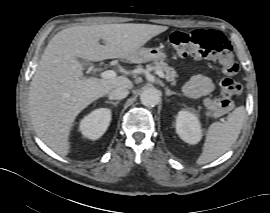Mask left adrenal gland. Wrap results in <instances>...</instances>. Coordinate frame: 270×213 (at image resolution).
Instances as JSON below:
<instances>
[{
  "instance_id": "a2214340",
  "label": "left adrenal gland",
  "mask_w": 270,
  "mask_h": 213,
  "mask_svg": "<svg viewBox=\"0 0 270 213\" xmlns=\"http://www.w3.org/2000/svg\"><path fill=\"white\" fill-rule=\"evenodd\" d=\"M165 94H166V96H170V95H180L179 93H176V92H174V91H171L169 88H165Z\"/></svg>"
}]
</instances>
